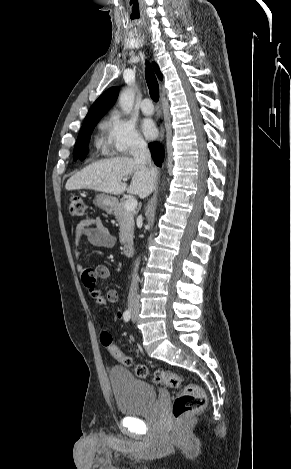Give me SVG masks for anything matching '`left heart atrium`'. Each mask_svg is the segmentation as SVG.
Segmentation results:
<instances>
[{
	"label": "left heart atrium",
	"instance_id": "obj_1",
	"mask_svg": "<svg viewBox=\"0 0 291 469\" xmlns=\"http://www.w3.org/2000/svg\"><path fill=\"white\" fill-rule=\"evenodd\" d=\"M142 130L148 139H153L157 134L156 127L154 123L150 120H146L143 122Z\"/></svg>",
	"mask_w": 291,
	"mask_h": 469
}]
</instances>
